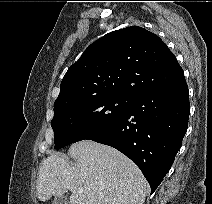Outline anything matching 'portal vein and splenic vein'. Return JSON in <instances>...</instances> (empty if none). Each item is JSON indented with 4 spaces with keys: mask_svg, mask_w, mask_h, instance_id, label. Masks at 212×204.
Masks as SVG:
<instances>
[{
    "mask_svg": "<svg viewBox=\"0 0 212 204\" xmlns=\"http://www.w3.org/2000/svg\"><path fill=\"white\" fill-rule=\"evenodd\" d=\"M77 192H78V193H83V192H84V188H83V187H79V188L77 189Z\"/></svg>",
    "mask_w": 212,
    "mask_h": 204,
    "instance_id": "18ae733b",
    "label": "portal vein and splenic vein"
}]
</instances>
